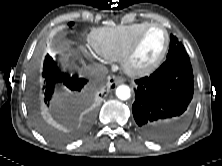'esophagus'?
<instances>
[{
    "mask_svg": "<svg viewBox=\"0 0 222 166\" xmlns=\"http://www.w3.org/2000/svg\"><path fill=\"white\" fill-rule=\"evenodd\" d=\"M114 81L116 84H122L125 82V79L123 77H115Z\"/></svg>",
    "mask_w": 222,
    "mask_h": 166,
    "instance_id": "esophagus-1",
    "label": "esophagus"
}]
</instances>
